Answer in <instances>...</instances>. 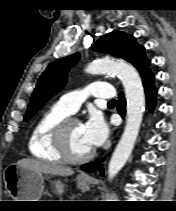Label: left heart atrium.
Instances as JSON below:
<instances>
[{
  "instance_id": "39dd6f15",
  "label": "left heart atrium",
  "mask_w": 176,
  "mask_h": 211,
  "mask_svg": "<svg viewBox=\"0 0 176 211\" xmlns=\"http://www.w3.org/2000/svg\"><path fill=\"white\" fill-rule=\"evenodd\" d=\"M82 129L84 139L91 148L102 145L108 136L107 124L98 114L91 115Z\"/></svg>"
}]
</instances>
